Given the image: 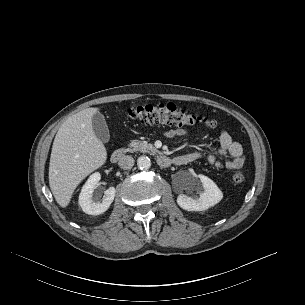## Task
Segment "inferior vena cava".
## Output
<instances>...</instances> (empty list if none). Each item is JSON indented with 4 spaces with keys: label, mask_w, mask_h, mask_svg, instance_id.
Listing matches in <instances>:
<instances>
[{
    "label": "inferior vena cava",
    "mask_w": 305,
    "mask_h": 305,
    "mask_svg": "<svg viewBox=\"0 0 305 305\" xmlns=\"http://www.w3.org/2000/svg\"><path fill=\"white\" fill-rule=\"evenodd\" d=\"M119 166L122 169H126V170L131 169L134 166L133 157L128 155L121 157V159L119 160Z\"/></svg>",
    "instance_id": "inferior-vena-cava-1"
}]
</instances>
